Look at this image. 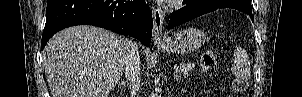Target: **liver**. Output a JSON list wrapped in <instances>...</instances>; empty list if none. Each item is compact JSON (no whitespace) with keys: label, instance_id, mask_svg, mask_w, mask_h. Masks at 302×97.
<instances>
[{"label":"liver","instance_id":"liver-1","mask_svg":"<svg viewBox=\"0 0 302 97\" xmlns=\"http://www.w3.org/2000/svg\"><path fill=\"white\" fill-rule=\"evenodd\" d=\"M126 40L87 25L55 34L43 51L52 97H106L122 75Z\"/></svg>","mask_w":302,"mask_h":97}]
</instances>
